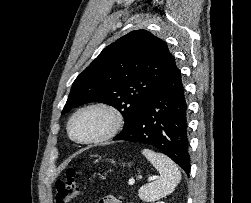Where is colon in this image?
Listing matches in <instances>:
<instances>
[{"label":"colon","instance_id":"obj_1","mask_svg":"<svg viewBox=\"0 0 251 203\" xmlns=\"http://www.w3.org/2000/svg\"><path fill=\"white\" fill-rule=\"evenodd\" d=\"M77 170L69 168L66 178L56 183L55 203H71L79 193V186L76 180Z\"/></svg>","mask_w":251,"mask_h":203}]
</instances>
